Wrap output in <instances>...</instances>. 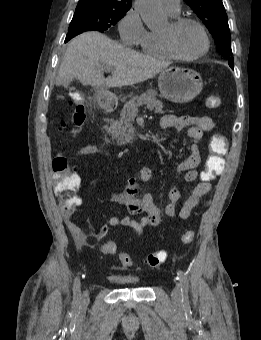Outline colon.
<instances>
[{
	"mask_svg": "<svg viewBox=\"0 0 261 340\" xmlns=\"http://www.w3.org/2000/svg\"><path fill=\"white\" fill-rule=\"evenodd\" d=\"M208 108H218L221 105L219 96L214 95L206 99L205 102ZM85 107L75 101L70 102V122L75 128L81 127L85 121ZM66 123L61 122V127L64 128ZM228 142L222 134H214L209 140L210 155L205 162V168L201 172V181L211 183L216 175L223 169V156L227 152ZM53 171V190L59 199L60 209L64 215H70L79 205L80 199L76 192L79 187V180L74 169L71 167L68 159L63 154L57 155L52 161ZM183 243H191L194 239V232L186 230L181 236ZM101 251L105 255H114L117 252V246L113 241L107 240L101 245ZM168 257L165 250H159L149 254L144 259L146 267L154 268L163 264ZM120 262L125 267H131L133 260L127 253L119 254Z\"/></svg>",
	"mask_w": 261,
	"mask_h": 340,
	"instance_id": "5ec220e1",
	"label": "colon"
}]
</instances>
